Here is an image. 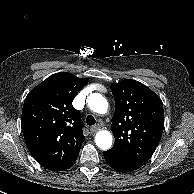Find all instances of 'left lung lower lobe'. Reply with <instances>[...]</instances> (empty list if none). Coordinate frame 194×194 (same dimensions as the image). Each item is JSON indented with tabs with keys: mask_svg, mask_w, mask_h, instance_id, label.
Returning <instances> with one entry per match:
<instances>
[{
	"mask_svg": "<svg viewBox=\"0 0 194 194\" xmlns=\"http://www.w3.org/2000/svg\"><path fill=\"white\" fill-rule=\"evenodd\" d=\"M104 158L110 167L119 172H132L141 167L140 165L123 160L107 151L104 152Z\"/></svg>",
	"mask_w": 194,
	"mask_h": 194,
	"instance_id": "1",
	"label": "left lung lower lobe"
}]
</instances>
